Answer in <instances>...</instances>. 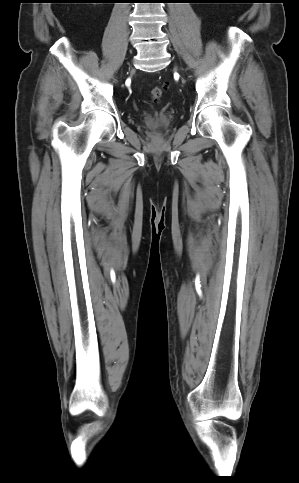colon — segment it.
Listing matches in <instances>:
<instances>
[{"label":"colon","instance_id":"5ec220e1","mask_svg":"<svg viewBox=\"0 0 299 483\" xmlns=\"http://www.w3.org/2000/svg\"><path fill=\"white\" fill-rule=\"evenodd\" d=\"M167 88H168L167 84L153 86L150 91L152 100L154 102H158Z\"/></svg>","mask_w":299,"mask_h":483}]
</instances>
